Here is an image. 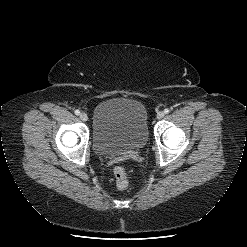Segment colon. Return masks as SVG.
<instances>
[{
  "label": "colon",
  "mask_w": 247,
  "mask_h": 247,
  "mask_svg": "<svg viewBox=\"0 0 247 247\" xmlns=\"http://www.w3.org/2000/svg\"><path fill=\"white\" fill-rule=\"evenodd\" d=\"M115 183L118 189L124 190L128 186V176L124 168L115 167L114 168Z\"/></svg>",
  "instance_id": "5ec220e1"
}]
</instances>
